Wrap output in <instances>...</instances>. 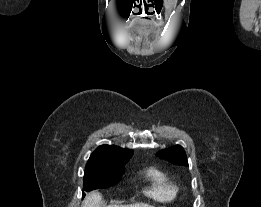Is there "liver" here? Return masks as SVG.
Instances as JSON below:
<instances>
[{
  "label": "liver",
  "mask_w": 261,
  "mask_h": 207,
  "mask_svg": "<svg viewBox=\"0 0 261 207\" xmlns=\"http://www.w3.org/2000/svg\"><path fill=\"white\" fill-rule=\"evenodd\" d=\"M102 200V196L99 192H90L87 194L84 198V201L82 203V207H100V203ZM109 207H154L149 204L144 203H136V204H130V205H111Z\"/></svg>",
  "instance_id": "obj_1"
}]
</instances>
